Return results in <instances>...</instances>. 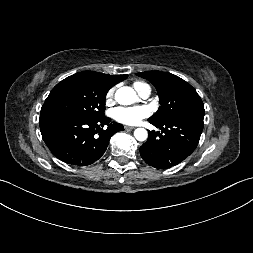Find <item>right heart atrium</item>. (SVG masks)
Wrapping results in <instances>:
<instances>
[{
  "mask_svg": "<svg viewBox=\"0 0 253 253\" xmlns=\"http://www.w3.org/2000/svg\"><path fill=\"white\" fill-rule=\"evenodd\" d=\"M114 94H115V88H111L107 91L106 93V102L110 103L112 102L113 98H114Z\"/></svg>",
  "mask_w": 253,
  "mask_h": 253,
  "instance_id": "right-heart-atrium-1",
  "label": "right heart atrium"
}]
</instances>
